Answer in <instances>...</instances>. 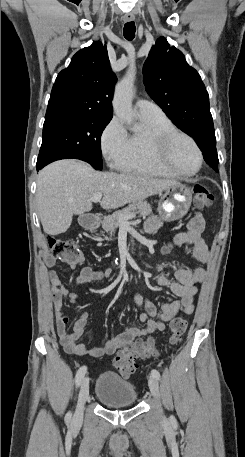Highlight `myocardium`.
I'll return each instance as SVG.
<instances>
[{
    "instance_id": "obj_1",
    "label": "myocardium",
    "mask_w": 245,
    "mask_h": 457,
    "mask_svg": "<svg viewBox=\"0 0 245 457\" xmlns=\"http://www.w3.org/2000/svg\"><path fill=\"white\" fill-rule=\"evenodd\" d=\"M177 137H183L190 143L192 150L197 157V166L191 172H182L175 170L171 166L164 164L157 156V150L170 146ZM143 154L147 161L156 169L173 176H192L196 174L202 166L203 156L195 140L187 133L178 129L148 130L143 138Z\"/></svg>"
}]
</instances>
